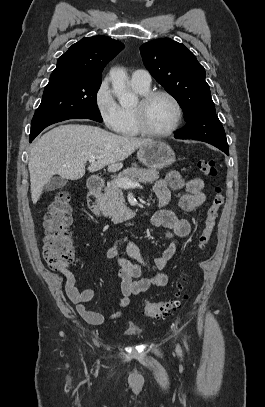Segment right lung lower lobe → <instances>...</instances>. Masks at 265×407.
<instances>
[{
	"label": "right lung lower lobe",
	"instance_id": "1",
	"mask_svg": "<svg viewBox=\"0 0 265 407\" xmlns=\"http://www.w3.org/2000/svg\"><path fill=\"white\" fill-rule=\"evenodd\" d=\"M35 137H36V136H35ZM35 137H30V142H31Z\"/></svg>",
	"mask_w": 265,
	"mask_h": 407
}]
</instances>
